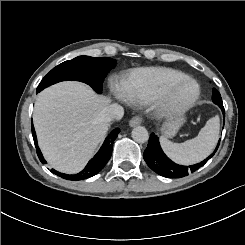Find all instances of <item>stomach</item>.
<instances>
[{
	"label": "stomach",
	"instance_id": "stomach-1",
	"mask_svg": "<svg viewBox=\"0 0 245 245\" xmlns=\"http://www.w3.org/2000/svg\"><path fill=\"white\" fill-rule=\"evenodd\" d=\"M188 116L185 113L171 114L166 116L160 126V133L162 136L172 139L180 129L187 123Z\"/></svg>",
	"mask_w": 245,
	"mask_h": 245
}]
</instances>
